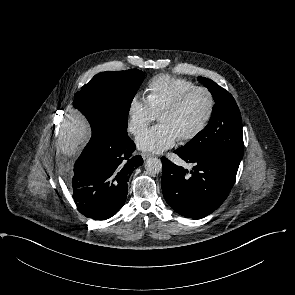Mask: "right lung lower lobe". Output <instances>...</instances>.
I'll return each mask as SVG.
<instances>
[{
	"mask_svg": "<svg viewBox=\"0 0 295 295\" xmlns=\"http://www.w3.org/2000/svg\"><path fill=\"white\" fill-rule=\"evenodd\" d=\"M91 129V139L74 165L73 199L86 217L105 220L125 204L127 182L143 159L132 156L136 146L128 135L116 136L97 125Z\"/></svg>",
	"mask_w": 295,
	"mask_h": 295,
	"instance_id": "1",
	"label": "right lung lower lobe"
}]
</instances>
